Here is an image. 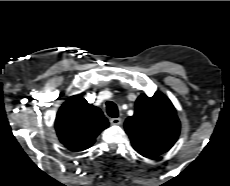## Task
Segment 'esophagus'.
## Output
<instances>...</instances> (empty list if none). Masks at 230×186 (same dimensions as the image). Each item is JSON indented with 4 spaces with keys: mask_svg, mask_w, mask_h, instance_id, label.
Wrapping results in <instances>:
<instances>
[{
    "mask_svg": "<svg viewBox=\"0 0 230 186\" xmlns=\"http://www.w3.org/2000/svg\"><path fill=\"white\" fill-rule=\"evenodd\" d=\"M110 123L112 125H120L122 123V120H121V118H111Z\"/></svg>",
    "mask_w": 230,
    "mask_h": 186,
    "instance_id": "esophagus-1",
    "label": "esophagus"
}]
</instances>
